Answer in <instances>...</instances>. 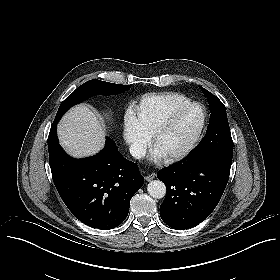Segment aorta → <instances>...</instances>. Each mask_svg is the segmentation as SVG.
Masks as SVG:
<instances>
[{"label":"aorta","mask_w":280,"mask_h":280,"mask_svg":"<svg viewBox=\"0 0 280 280\" xmlns=\"http://www.w3.org/2000/svg\"><path fill=\"white\" fill-rule=\"evenodd\" d=\"M147 191L151 197H153L155 199H161L166 194V186L160 180H153L148 183Z\"/></svg>","instance_id":"obj_1"}]
</instances>
